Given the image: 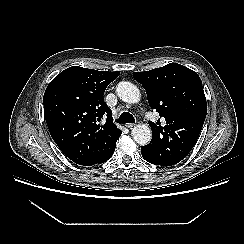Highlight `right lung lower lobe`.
<instances>
[{"mask_svg":"<svg viewBox=\"0 0 244 244\" xmlns=\"http://www.w3.org/2000/svg\"><path fill=\"white\" fill-rule=\"evenodd\" d=\"M115 147H116V145L113 147V149L110 151V153L103 160H101V161H99L97 163L91 164V165H83V166H92V165L100 164V163H103V162L107 161L112 156V154L114 153Z\"/></svg>","mask_w":244,"mask_h":244,"instance_id":"98d812e1","label":"right lung lower lobe"}]
</instances>
